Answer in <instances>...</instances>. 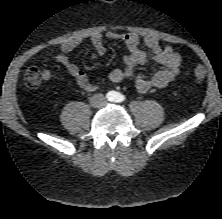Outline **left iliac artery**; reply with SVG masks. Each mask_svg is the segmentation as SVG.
Returning <instances> with one entry per match:
<instances>
[{
  "mask_svg": "<svg viewBox=\"0 0 222 219\" xmlns=\"http://www.w3.org/2000/svg\"><path fill=\"white\" fill-rule=\"evenodd\" d=\"M125 96L123 95V94H121V93H119V92H116L115 93V96H114V100L116 101V102H122V101H125Z\"/></svg>",
  "mask_w": 222,
  "mask_h": 219,
  "instance_id": "left-iliac-artery-1",
  "label": "left iliac artery"
}]
</instances>
